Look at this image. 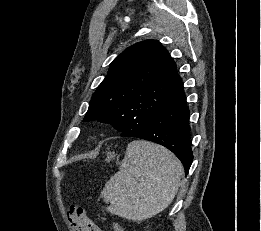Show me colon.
<instances>
[{"instance_id":"colon-1","label":"colon","mask_w":261,"mask_h":231,"mask_svg":"<svg viewBox=\"0 0 261 231\" xmlns=\"http://www.w3.org/2000/svg\"><path fill=\"white\" fill-rule=\"evenodd\" d=\"M68 221L80 227L81 231H89L93 227V222L87 215L84 208L76 205H71L67 212ZM114 231H124V228L118 222L113 223Z\"/></svg>"}]
</instances>
